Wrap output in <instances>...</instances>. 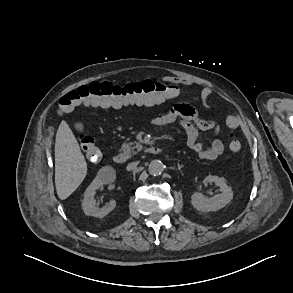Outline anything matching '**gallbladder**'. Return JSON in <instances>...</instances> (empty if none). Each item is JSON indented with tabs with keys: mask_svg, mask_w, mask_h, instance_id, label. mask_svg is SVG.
Masks as SVG:
<instances>
[{
	"mask_svg": "<svg viewBox=\"0 0 293 293\" xmlns=\"http://www.w3.org/2000/svg\"><path fill=\"white\" fill-rule=\"evenodd\" d=\"M74 128H75L77 131L82 132V131L84 130V125H83V123H81V122H76V123L74 124Z\"/></svg>",
	"mask_w": 293,
	"mask_h": 293,
	"instance_id": "1",
	"label": "gallbladder"
}]
</instances>
